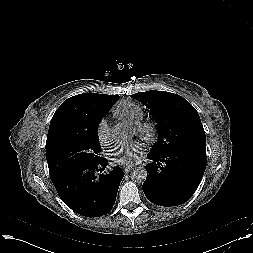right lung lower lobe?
Returning <instances> with one entry per match:
<instances>
[{
  "label": "right lung lower lobe",
  "mask_w": 253,
  "mask_h": 253,
  "mask_svg": "<svg viewBox=\"0 0 253 253\" xmlns=\"http://www.w3.org/2000/svg\"><path fill=\"white\" fill-rule=\"evenodd\" d=\"M108 163L102 158L97 163L70 168L50 174L62 201L72 210L85 217H99L113 208L117 191L124 173L114 167L106 175H99Z\"/></svg>",
  "instance_id": "right-lung-lower-lobe-1"
}]
</instances>
